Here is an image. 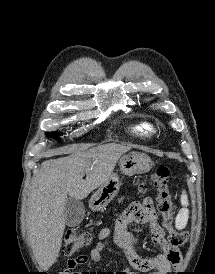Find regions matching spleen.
<instances>
[{
    "label": "spleen",
    "mask_w": 215,
    "mask_h": 274,
    "mask_svg": "<svg viewBox=\"0 0 215 274\" xmlns=\"http://www.w3.org/2000/svg\"><path fill=\"white\" fill-rule=\"evenodd\" d=\"M181 204L183 208L179 211L175 221V225L177 229L183 228L186 225L188 220V210L186 208L188 205V198L184 191L181 195Z\"/></svg>",
    "instance_id": "3e777b00"
}]
</instances>
